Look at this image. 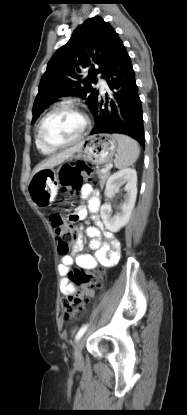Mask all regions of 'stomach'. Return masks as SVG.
I'll return each mask as SVG.
<instances>
[{
  "label": "stomach",
  "mask_w": 187,
  "mask_h": 415,
  "mask_svg": "<svg viewBox=\"0 0 187 415\" xmlns=\"http://www.w3.org/2000/svg\"><path fill=\"white\" fill-rule=\"evenodd\" d=\"M117 149V141L113 135L100 133L83 140L77 155H72L71 159L97 165L106 164L113 159ZM56 180L57 172L54 168L42 169L32 175L28 183V193L36 206L51 205L57 194Z\"/></svg>",
  "instance_id": "stomach-1"
}]
</instances>
